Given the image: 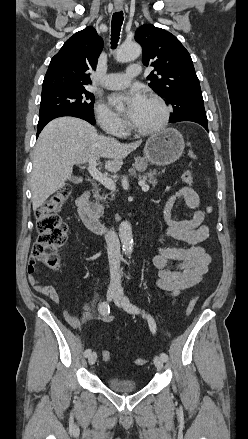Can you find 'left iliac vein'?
I'll use <instances>...</instances> for the list:
<instances>
[{"instance_id": "left-iliac-vein-1", "label": "left iliac vein", "mask_w": 248, "mask_h": 439, "mask_svg": "<svg viewBox=\"0 0 248 439\" xmlns=\"http://www.w3.org/2000/svg\"><path fill=\"white\" fill-rule=\"evenodd\" d=\"M114 301L117 306L125 308V304L127 303L128 299L121 292H118ZM153 361L157 369H163L164 361L160 356H155Z\"/></svg>"}]
</instances>
